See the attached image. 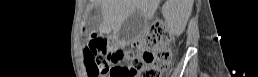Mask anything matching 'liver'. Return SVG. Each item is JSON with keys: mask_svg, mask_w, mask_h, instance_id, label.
<instances>
[{"mask_svg": "<svg viewBox=\"0 0 258 77\" xmlns=\"http://www.w3.org/2000/svg\"><path fill=\"white\" fill-rule=\"evenodd\" d=\"M194 0H168L166 9L176 12L179 20L185 25L190 16ZM160 0H102L101 10L103 22L101 30L111 32L119 29L123 22L136 10H139L145 18H151ZM169 16L167 21L169 22Z\"/></svg>", "mask_w": 258, "mask_h": 77, "instance_id": "liver-1", "label": "liver"}]
</instances>
